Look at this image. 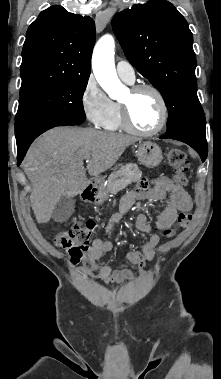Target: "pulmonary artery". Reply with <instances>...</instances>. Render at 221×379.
Listing matches in <instances>:
<instances>
[{"label":"pulmonary artery","mask_w":221,"mask_h":379,"mask_svg":"<svg viewBox=\"0 0 221 379\" xmlns=\"http://www.w3.org/2000/svg\"><path fill=\"white\" fill-rule=\"evenodd\" d=\"M116 71L118 76L127 83H133L135 81V71L130 63L126 61L118 62Z\"/></svg>","instance_id":"e3ab8cb5"}]
</instances>
